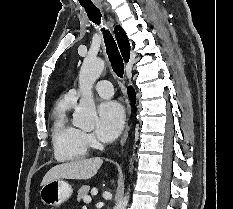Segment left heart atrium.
Masks as SVG:
<instances>
[{"label": "left heart atrium", "instance_id": "left-heart-atrium-1", "mask_svg": "<svg viewBox=\"0 0 233 209\" xmlns=\"http://www.w3.org/2000/svg\"><path fill=\"white\" fill-rule=\"evenodd\" d=\"M124 111L116 101H104L98 107L96 133L103 141L115 139L124 125Z\"/></svg>", "mask_w": 233, "mask_h": 209}]
</instances>
